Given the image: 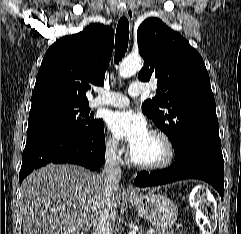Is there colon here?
<instances>
[{"instance_id": "colon-1", "label": "colon", "mask_w": 241, "mask_h": 234, "mask_svg": "<svg viewBox=\"0 0 241 234\" xmlns=\"http://www.w3.org/2000/svg\"><path fill=\"white\" fill-rule=\"evenodd\" d=\"M190 204L197 212L196 222L199 229L204 230L214 211L209 192L205 188L196 190L190 199Z\"/></svg>"}]
</instances>
